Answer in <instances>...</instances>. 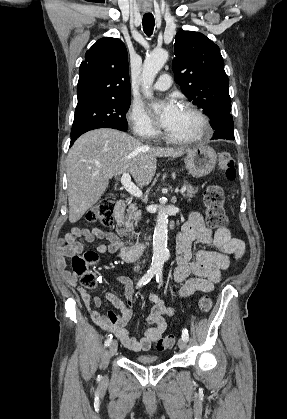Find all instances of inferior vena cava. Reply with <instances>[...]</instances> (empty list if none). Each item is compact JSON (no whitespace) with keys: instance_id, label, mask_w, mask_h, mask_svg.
Here are the masks:
<instances>
[{"instance_id":"1","label":"inferior vena cava","mask_w":287,"mask_h":419,"mask_svg":"<svg viewBox=\"0 0 287 419\" xmlns=\"http://www.w3.org/2000/svg\"><path fill=\"white\" fill-rule=\"evenodd\" d=\"M139 268H140V267H139V265H137V266L135 267V270H139Z\"/></svg>"}]
</instances>
